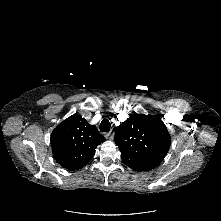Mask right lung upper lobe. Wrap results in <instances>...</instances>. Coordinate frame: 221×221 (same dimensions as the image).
Segmentation results:
<instances>
[{
    "label": "right lung upper lobe",
    "instance_id": "right-lung-upper-lobe-1",
    "mask_svg": "<svg viewBox=\"0 0 221 221\" xmlns=\"http://www.w3.org/2000/svg\"><path fill=\"white\" fill-rule=\"evenodd\" d=\"M104 141L96 126L90 125L80 115L70 116L51 134L56 161L71 171L84 167L94 156L96 147Z\"/></svg>",
    "mask_w": 221,
    "mask_h": 221
}]
</instances>
